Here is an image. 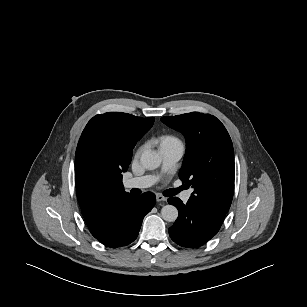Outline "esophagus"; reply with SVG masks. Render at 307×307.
I'll return each instance as SVG.
<instances>
[{"label":"esophagus","instance_id":"obj_1","mask_svg":"<svg viewBox=\"0 0 307 307\" xmlns=\"http://www.w3.org/2000/svg\"><path fill=\"white\" fill-rule=\"evenodd\" d=\"M166 200H167V198L164 197L163 195H161V194H156V201H157V202L166 201Z\"/></svg>","mask_w":307,"mask_h":307}]
</instances>
